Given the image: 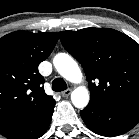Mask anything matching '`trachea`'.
<instances>
[{"label":"trachea","mask_w":139,"mask_h":139,"mask_svg":"<svg viewBox=\"0 0 139 139\" xmlns=\"http://www.w3.org/2000/svg\"><path fill=\"white\" fill-rule=\"evenodd\" d=\"M52 89L55 92L64 91L67 89V84L62 78H56L52 82Z\"/></svg>","instance_id":"1"}]
</instances>
